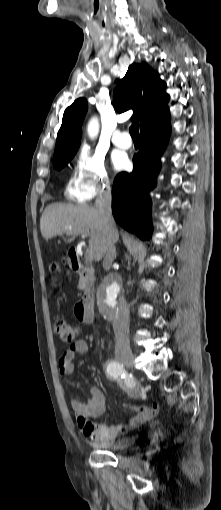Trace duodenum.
<instances>
[{"label":"duodenum","mask_w":221,"mask_h":510,"mask_svg":"<svg viewBox=\"0 0 221 510\" xmlns=\"http://www.w3.org/2000/svg\"><path fill=\"white\" fill-rule=\"evenodd\" d=\"M71 269L79 273L85 282L84 294L82 299L76 304L75 313L77 317L86 324L94 321V270L83 264L76 249L72 248L69 252Z\"/></svg>","instance_id":"duodenum-1"}]
</instances>
